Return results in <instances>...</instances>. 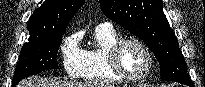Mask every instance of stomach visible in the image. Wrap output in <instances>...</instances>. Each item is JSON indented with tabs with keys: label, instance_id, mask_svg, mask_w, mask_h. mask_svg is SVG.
<instances>
[{
	"label": "stomach",
	"instance_id": "stomach-1",
	"mask_svg": "<svg viewBox=\"0 0 205 87\" xmlns=\"http://www.w3.org/2000/svg\"><path fill=\"white\" fill-rule=\"evenodd\" d=\"M137 87H145V86H143V85H138Z\"/></svg>",
	"mask_w": 205,
	"mask_h": 87
}]
</instances>
